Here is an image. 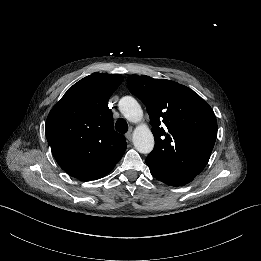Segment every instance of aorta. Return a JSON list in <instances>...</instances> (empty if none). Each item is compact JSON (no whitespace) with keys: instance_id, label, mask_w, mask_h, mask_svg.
<instances>
[{"instance_id":"762f6f07","label":"aorta","mask_w":261,"mask_h":261,"mask_svg":"<svg viewBox=\"0 0 261 261\" xmlns=\"http://www.w3.org/2000/svg\"><path fill=\"white\" fill-rule=\"evenodd\" d=\"M119 109L130 122H139L143 117V110L140 104L131 96H125L120 99ZM132 140L136 150L142 154H149L154 148V136L145 124L135 128Z\"/></svg>"}]
</instances>
